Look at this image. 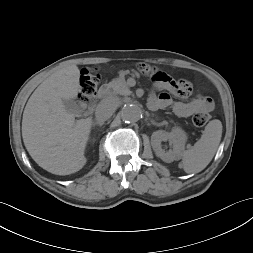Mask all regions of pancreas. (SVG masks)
Segmentation results:
<instances>
[{
	"mask_svg": "<svg viewBox=\"0 0 253 253\" xmlns=\"http://www.w3.org/2000/svg\"><path fill=\"white\" fill-rule=\"evenodd\" d=\"M109 91L105 95L108 99H117L118 95L128 96L131 94L126 82L122 78L114 79L108 84Z\"/></svg>",
	"mask_w": 253,
	"mask_h": 253,
	"instance_id": "obj_1",
	"label": "pancreas"
}]
</instances>
